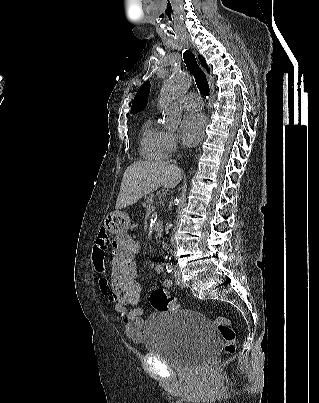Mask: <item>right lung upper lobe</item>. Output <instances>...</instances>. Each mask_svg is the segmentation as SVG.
Segmentation results:
<instances>
[{
	"instance_id": "right-lung-upper-lobe-1",
	"label": "right lung upper lobe",
	"mask_w": 319,
	"mask_h": 403,
	"mask_svg": "<svg viewBox=\"0 0 319 403\" xmlns=\"http://www.w3.org/2000/svg\"><path fill=\"white\" fill-rule=\"evenodd\" d=\"M200 60L203 63L202 66L205 67V59L203 57H200ZM207 70H208V68H207ZM149 91H150V82L147 81L139 88V90L135 96V99L132 103L131 112L133 114L140 112L141 110H143L146 107L147 102H148L147 96L149 95Z\"/></svg>"
}]
</instances>
